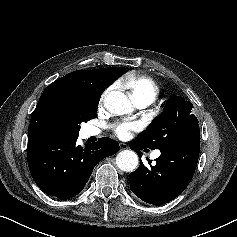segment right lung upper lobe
<instances>
[{
  "instance_id": "cb5924a9",
  "label": "right lung upper lobe",
  "mask_w": 237,
  "mask_h": 237,
  "mask_svg": "<svg viewBox=\"0 0 237 237\" xmlns=\"http://www.w3.org/2000/svg\"><path fill=\"white\" fill-rule=\"evenodd\" d=\"M118 78L124 67H110ZM103 89L94 70H77L51 83L42 93L28 128V144L48 137L68 136L67 107L76 102L100 100Z\"/></svg>"
}]
</instances>
